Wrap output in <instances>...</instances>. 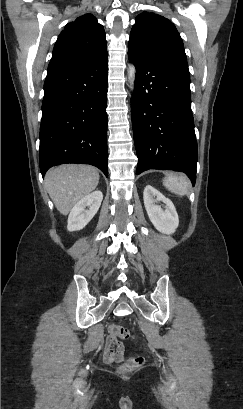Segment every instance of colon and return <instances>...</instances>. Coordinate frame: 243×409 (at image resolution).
Segmentation results:
<instances>
[{"label": "colon", "mask_w": 243, "mask_h": 409, "mask_svg": "<svg viewBox=\"0 0 243 409\" xmlns=\"http://www.w3.org/2000/svg\"><path fill=\"white\" fill-rule=\"evenodd\" d=\"M110 332L121 339H128L130 337L129 330L121 326L112 325L110 327ZM144 362L145 359L141 355L131 356L120 366L119 371L121 373L131 372L141 367Z\"/></svg>", "instance_id": "1"}]
</instances>
